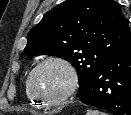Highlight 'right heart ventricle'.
I'll return each mask as SVG.
<instances>
[{"instance_id":"1","label":"right heart ventricle","mask_w":131,"mask_h":115,"mask_svg":"<svg viewBox=\"0 0 131 115\" xmlns=\"http://www.w3.org/2000/svg\"><path fill=\"white\" fill-rule=\"evenodd\" d=\"M26 81H27V79H26ZM26 81H25L24 86H25V94H26V96H27L28 101H29L30 103L34 104V105H40L39 102H38L37 100H35V99L30 95V93L28 92Z\"/></svg>"}]
</instances>
